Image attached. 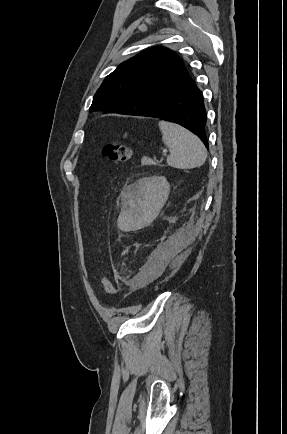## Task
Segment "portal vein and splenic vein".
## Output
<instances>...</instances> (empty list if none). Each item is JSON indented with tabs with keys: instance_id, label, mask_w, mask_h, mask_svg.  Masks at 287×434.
Returning <instances> with one entry per match:
<instances>
[{
	"instance_id": "obj_1",
	"label": "portal vein and splenic vein",
	"mask_w": 287,
	"mask_h": 434,
	"mask_svg": "<svg viewBox=\"0 0 287 434\" xmlns=\"http://www.w3.org/2000/svg\"><path fill=\"white\" fill-rule=\"evenodd\" d=\"M166 152H167V150H166V149H164V150H163V153H166Z\"/></svg>"
}]
</instances>
